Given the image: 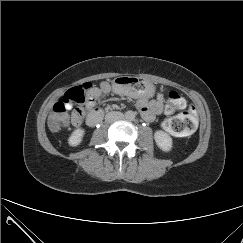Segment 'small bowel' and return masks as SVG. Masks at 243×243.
Masks as SVG:
<instances>
[{
  "label": "small bowel",
  "instance_id": "small-bowel-1",
  "mask_svg": "<svg viewBox=\"0 0 243 243\" xmlns=\"http://www.w3.org/2000/svg\"><path fill=\"white\" fill-rule=\"evenodd\" d=\"M107 85V84H106ZM109 92V86L104 87L102 84L100 87H95L93 89V100L87 105L88 108H91L95 100L100 98L102 95H105ZM69 110L72 108L68 107ZM137 108L142 116V118L148 122H151L155 119L156 115L160 114L163 109V101L161 98L157 99H148L140 97L137 101ZM72 123L75 126L80 125L81 120L72 118Z\"/></svg>",
  "mask_w": 243,
  "mask_h": 243
}]
</instances>
